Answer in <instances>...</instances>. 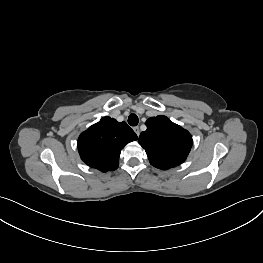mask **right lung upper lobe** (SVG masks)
<instances>
[{"label":"right lung upper lobe","mask_w":263,"mask_h":263,"mask_svg":"<svg viewBox=\"0 0 263 263\" xmlns=\"http://www.w3.org/2000/svg\"><path fill=\"white\" fill-rule=\"evenodd\" d=\"M137 138L126 122L103 117L79 136L78 151L88 166L102 172L112 171L119 165L121 149Z\"/></svg>","instance_id":"cb5924a9"}]
</instances>
